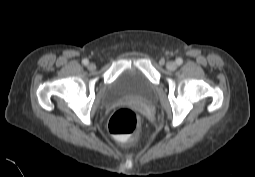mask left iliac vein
Listing matches in <instances>:
<instances>
[{
    "instance_id": "obj_1",
    "label": "left iliac vein",
    "mask_w": 255,
    "mask_h": 177,
    "mask_svg": "<svg viewBox=\"0 0 255 177\" xmlns=\"http://www.w3.org/2000/svg\"><path fill=\"white\" fill-rule=\"evenodd\" d=\"M177 68V64L173 61L167 63V69L173 71Z\"/></svg>"
}]
</instances>
